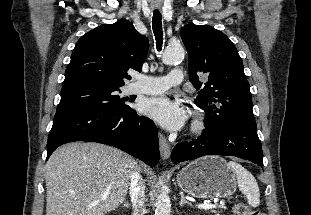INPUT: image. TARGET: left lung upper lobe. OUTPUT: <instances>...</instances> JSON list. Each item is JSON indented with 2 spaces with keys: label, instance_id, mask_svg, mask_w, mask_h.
<instances>
[{
  "label": "left lung upper lobe",
  "instance_id": "5c2ea615",
  "mask_svg": "<svg viewBox=\"0 0 311 215\" xmlns=\"http://www.w3.org/2000/svg\"><path fill=\"white\" fill-rule=\"evenodd\" d=\"M188 51L189 78L198 92L195 103L206 112L207 124L234 117H252V96L235 45L208 25L188 24L181 29ZM204 74L206 82L200 81Z\"/></svg>",
  "mask_w": 311,
  "mask_h": 215
}]
</instances>
